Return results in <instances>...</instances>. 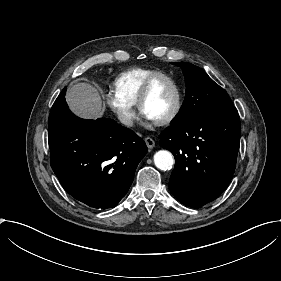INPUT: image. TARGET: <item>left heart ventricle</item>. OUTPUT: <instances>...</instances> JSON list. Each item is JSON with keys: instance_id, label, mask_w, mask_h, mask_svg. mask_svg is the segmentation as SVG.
Instances as JSON below:
<instances>
[{"instance_id": "1", "label": "left heart ventricle", "mask_w": 281, "mask_h": 281, "mask_svg": "<svg viewBox=\"0 0 281 281\" xmlns=\"http://www.w3.org/2000/svg\"><path fill=\"white\" fill-rule=\"evenodd\" d=\"M175 103V91L166 81L158 83L145 102L143 111L152 122L164 120L172 111Z\"/></svg>"}]
</instances>
